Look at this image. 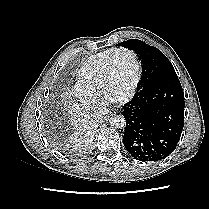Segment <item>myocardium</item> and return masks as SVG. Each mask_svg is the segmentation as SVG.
I'll use <instances>...</instances> for the list:
<instances>
[{
    "label": "myocardium",
    "mask_w": 209,
    "mask_h": 209,
    "mask_svg": "<svg viewBox=\"0 0 209 209\" xmlns=\"http://www.w3.org/2000/svg\"><path fill=\"white\" fill-rule=\"evenodd\" d=\"M121 53L130 54L131 57L133 58V61L135 63V67H136V76H135V80H134V83H133L130 91L126 95H124L122 97H112L109 94V87H110L111 74H112V69H113V59H114V57L116 55L121 54ZM141 76H142L141 64L139 62V59H138L136 53L133 50H131V49L116 48L112 52V54H111V56H110V58L108 60V63L106 65V67H105V70H104L103 85H102L103 95L106 98H108L109 100L113 101V102H117V103L128 102L136 94L138 86H139L140 81H141Z\"/></svg>",
    "instance_id": "obj_1"
}]
</instances>
